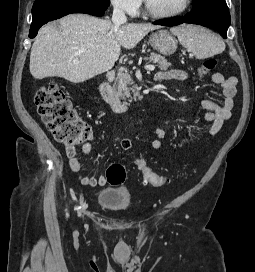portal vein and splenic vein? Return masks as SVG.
Masks as SVG:
<instances>
[{"label":"portal vein and splenic vein","mask_w":255,"mask_h":272,"mask_svg":"<svg viewBox=\"0 0 255 272\" xmlns=\"http://www.w3.org/2000/svg\"><path fill=\"white\" fill-rule=\"evenodd\" d=\"M145 69L148 70V71H154L155 66L154 65H146ZM120 70H123V68H121Z\"/></svg>","instance_id":"1"}]
</instances>
